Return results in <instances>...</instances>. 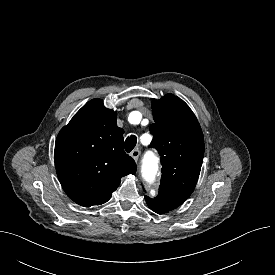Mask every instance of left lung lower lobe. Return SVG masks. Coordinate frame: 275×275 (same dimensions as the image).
<instances>
[{"instance_id": "0a47b994", "label": "left lung lower lobe", "mask_w": 275, "mask_h": 275, "mask_svg": "<svg viewBox=\"0 0 275 275\" xmlns=\"http://www.w3.org/2000/svg\"><path fill=\"white\" fill-rule=\"evenodd\" d=\"M145 200L149 208L158 214L166 213L185 202L184 199H166L161 197L151 199L147 196H145Z\"/></svg>"}]
</instances>
